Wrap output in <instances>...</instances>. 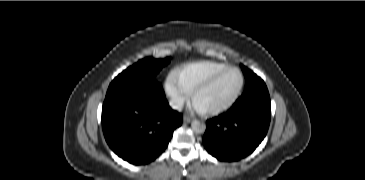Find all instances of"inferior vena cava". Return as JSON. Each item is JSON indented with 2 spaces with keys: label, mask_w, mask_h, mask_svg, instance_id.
I'll use <instances>...</instances> for the list:
<instances>
[{
  "label": "inferior vena cava",
  "mask_w": 365,
  "mask_h": 180,
  "mask_svg": "<svg viewBox=\"0 0 365 180\" xmlns=\"http://www.w3.org/2000/svg\"><path fill=\"white\" fill-rule=\"evenodd\" d=\"M169 105L172 109L181 111L184 105V99L182 97H175L169 101Z\"/></svg>",
  "instance_id": "inferior-vena-cava-1"
}]
</instances>
